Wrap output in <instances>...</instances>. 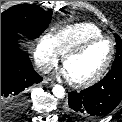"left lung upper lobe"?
Wrapping results in <instances>:
<instances>
[{"instance_id":"5c2ea615","label":"left lung upper lobe","mask_w":122,"mask_h":122,"mask_svg":"<svg viewBox=\"0 0 122 122\" xmlns=\"http://www.w3.org/2000/svg\"><path fill=\"white\" fill-rule=\"evenodd\" d=\"M114 36L116 40V56L112 68L122 65V39L117 34H114Z\"/></svg>"}]
</instances>
